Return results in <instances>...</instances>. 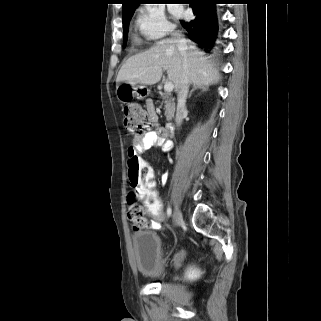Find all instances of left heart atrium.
I'll return each mask as SVG.
<instances>
[{
  "label": "left heart atrium",
  "instance_id": "39dd6f15",
  "mask_svg": "<svg viewBox=\"0 0 321 321\" xmlns=\"http://www.w3.org/2000/svg\"><path fill=\"white\" fill-rule=\"evenodd\" d=\"M172 12L175 16H179L181 14V11L178 8H174Z\"/></svg>",
  "mask_w": 321,
  "mask_h": 321
}]
</instances>
